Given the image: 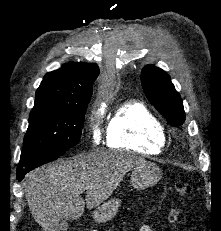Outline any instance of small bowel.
<instances>
[{
	"label": "small bowel",
	"mask_w": 221,
	"mask_h": 231,
	"mask_svg": "<svg viewBox=\"0 0 221 231\" xmlns=\"http://www.w3.org/2000/svg\"><path fill=\"white\" fill-rule=\"evenodd\" d=\"M139 231H153L150 226L144 221V219H141Z\"/></svg>",
	"instance_id": "small-bowel-1"
}]
</instances>
